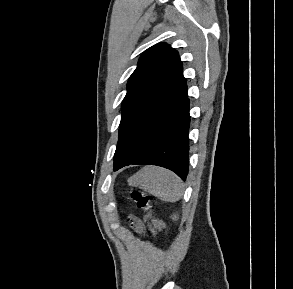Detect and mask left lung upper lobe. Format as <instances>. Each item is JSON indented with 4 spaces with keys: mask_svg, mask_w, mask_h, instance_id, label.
<instances>
[{
    "mask_svg": "<svg viewBox=\"0 0 293 289\" xmlns=\"http://www.w3.org/2000/svg\"><path fill=\"white\" fill-rule=\"evenodd\" d=\"M183 78L178 52L166 43L156 44L140 57L138 66L127 83L122 102L119 140L114 155V169L132 159L120 145L124 133L144 112L157 103Z\"/></svg>",
    "mask_w": 293,
    "mask_h": 289,
    "instance_id": "5c2ea615",
    "label": "left lung upper lobe"
}]
</instances>
